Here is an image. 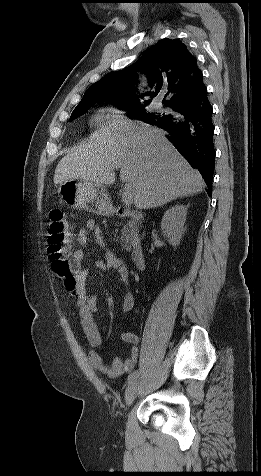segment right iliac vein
I'll return each instance as SVG.
<instances>
[{
    "instance_id": "1",
    "label": "right iliac vein",
    "mask_w": 261,
    "mask_h": 476,
    "mask_svg": "<svg viewBox=\"0 0 261 476\" xmlns=\"http://www.w3.org/2000/svg\"><path fill=\"white\" fill-rule=\"evenodd\" d=\"M137 387H138V381L133 380L127 387L126 392H125V403L126 406H131V404L134 401L136 392H137Z\"/></svg>"
}]
</instances>
